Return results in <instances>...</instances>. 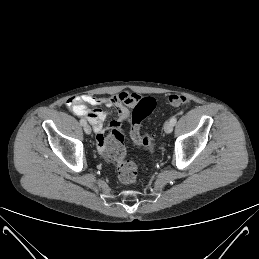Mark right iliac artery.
<instances>
[{"label": "right iliac artery", "mask_w": 259, "mask_h": 259, "mask_svg": "<svg viewBox=\"0 0 259 259\" xmlns=\"http://www.w3.org/2000/svg\"><path fill=\"white\" fill-rule=\"evenodd\" d=\"M86 123H87V122H86V120H85V119H81V120H80V124H81V125H83V126H84Z\"/></svg>", "instance_id": "right-iliac-artery-1"}]
</instances>
